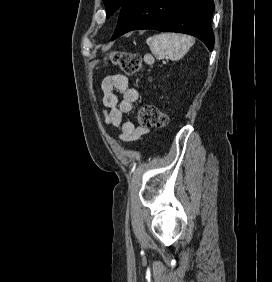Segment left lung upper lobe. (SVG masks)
Returning <instances> with one entry per match:
<instances>
[{"label": "left lung upper lobe", "mask_w": 272, "mask_h": 282, "mask_svg": "<svg viewBox=\"0 0 272 282\" xmlns=\"http://www.w3.org/2000/svg\"><path fill=\"white\" fill-rule=\"evenodd\" d=\"M126 0H103L106 6V17L111 16L115 11L119 10Z\"/></svg>", "instance_id": "1"}]
</instances>
